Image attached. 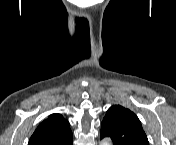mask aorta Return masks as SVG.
<instances>
[{"label": "aorta", "instance_id": "1", "mask_svg": "<svg viewBox=\"0 0 176 145\" xmlns=\"http://www.w3.org/2000/svg\"><path fill=\"white\" fill-rule=\"evenodd\" d=\"M101 145H110V141L108 140H102Z\"/></svg>", "mask_w": 176, "mask_h": 145}]
</instances>
